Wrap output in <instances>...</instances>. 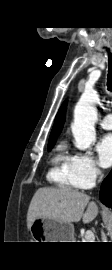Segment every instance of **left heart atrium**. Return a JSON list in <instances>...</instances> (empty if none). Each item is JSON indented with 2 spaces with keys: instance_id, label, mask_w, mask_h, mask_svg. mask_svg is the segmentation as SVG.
I'll use <instances>...</instances> for the list:
<instances>
[{
  "instance_id": "1",
  "label": "left heart atrium",
  "mask_w": 112,
  "mask_h": 270,
  "mask_svg": "<svg viewBox=\"0 0 112 270\" xmlns=\"http://www.w3.org/2000/svg\"><path fill=\"white\" fill-rule=\"evenodd\" d=\"M99 162L103 167L112 165V134L104 136L97 145Z\"/></svg>"
}]
</instances>
